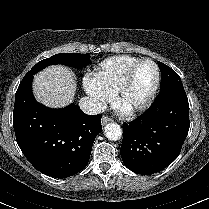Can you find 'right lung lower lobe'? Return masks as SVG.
<instances>
[{
	"label": "right lung lower lobe",
	"instance_id": "1",
	"mask_svg": "<svg viewBox=\"0 0 209 209\" xmlns=\"http://www.w3.org/2000/svg\"><path fill=\"white\" fill-rule=\"evenodd\" d=\"M33 75L20 83L15 94L13 127L17 143L40 172L64 178L84 169L93 142L102 131L101 115H87L71 104L51 109L32 94Z\"/></svg>",
	"mask_w": 209,
	"mask_h": 209
}]
</instances>
